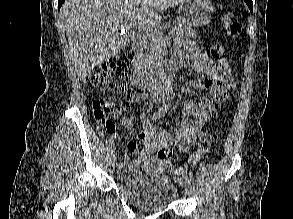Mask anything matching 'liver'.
<instances>
[{
    "instance_id": "liver-1",
    "label": "liver",
    "mask_w": 293,
    "mask_h": 219,
    "mask_svg": "<svg viewBox=\"0 0 293 219\" xmlns=\"http://www.w3.org/2000/svg\"><path fill=\"white\" fill-rule=\"evenodd\" d=\"M183 1L66 0L61 12L78 77L84 80L130 43L134 36L119 30H150L160 23L159 12Z\"/></svg>"
}]
</instances>
